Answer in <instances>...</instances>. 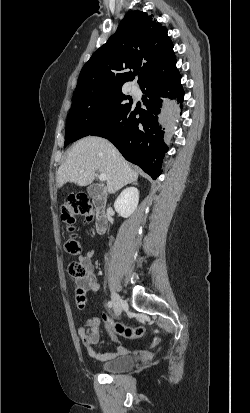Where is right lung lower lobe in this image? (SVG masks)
I'll return each mask as SVG.
<instances>
[{
  "mask_svg": "<svg viewBox=\"0 0 250 413\" xmlns=\"http://www.w3.org/2000/svg\"><path fill=\"white\" fill-rule=\"evenodd\" d=\"M180 79L176 69L146 80L140 85L145 94L142 98L145 108L131 104L91 135L107 138L126 160L156 179L162 173V160L168 150L164 143L170 127L165 112L166 99L178 104L183 102Z\"/></svg>",
  "mask_w": 250,
  "mask_h": 413,
  "instance_id": "1",
  "label": "right lung lower lobe"
}]
</instances>
